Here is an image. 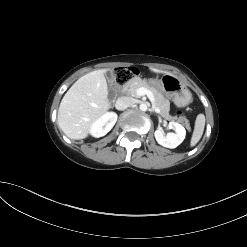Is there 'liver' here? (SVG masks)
Wrapping results in <instances>:
<instances>
[{"label":"liver","mask_w":247,"mask_h":247,"mask_svg":"<svg viewBox=\"0 0 247 247\" xmlns=\"http://www.w3.org/2000/svg\"><path fill=\"white\" fill-rule=\"evenodd\" d=\"M107 69L90 72L79 78L66 92L58 109V125L70 139H84L91 124L110 108L105 78ZM155 73H165L152 68Z\"/></svg>","instance_id":"6515ba94"}]
</instances>
